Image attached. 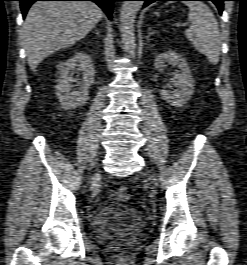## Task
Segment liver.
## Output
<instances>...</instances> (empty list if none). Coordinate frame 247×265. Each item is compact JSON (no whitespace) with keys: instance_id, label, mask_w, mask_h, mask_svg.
Wrapping results in <instances>:
<instances>
[{"instance_id":"obj_1","label":"liver","mask_w":247,"mask_h":265,"mask_svg":"<svg viewBox=\"0 0 247 265\" xmlns=\"http://www.w3.org/2000/svg\"><path fill=\"white\" fill-rule=\"evenodd\" d=\"M103 18L92 2L39 1L22 28L28 64L33 72L47 56L84 38Z\"/></svg>"}]
</instances>
